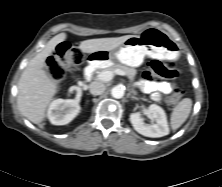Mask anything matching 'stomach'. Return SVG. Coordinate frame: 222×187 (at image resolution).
Masks as SVG:
<instances>
[{
	"mask_svg": "<svg viewBox=\"0 0 222 187\" xmlns=\"http://www.w3.org/2000/svg\"><path fill=\"white\" fill-rule=\"evenodd\" d=\"M179 55L177 42L164 30L151 27L138 36L128 38L112 51L100 50L90 53L89 63L101 65L107 62H120L138 67L146 56L175 60Z\"/></svg>",
	"mask_w": 222,
	"mask_h": 187,
	"instance_id": "0dacf381",
	"label": "stomach"
}]
</instances>
